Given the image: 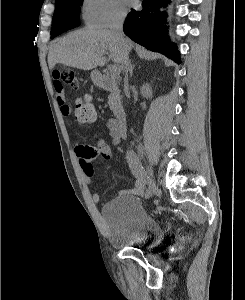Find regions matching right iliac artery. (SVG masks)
Masks as SVG:
<instances>
[{"label": "right iliac artery", "mask_w": 245, "mask_h": 300, "mask_svg": "<svg viewBox=\"0 0 245 300\" xmlns=\"http://www.w3.org/2000/svg\"><path fill=\"white\" fill-rule=\"evenodd\" d=\"M126 158L133 175L138 180H140L144 185L146 184L148 185L149 177L146 175L144 168L141 165L136 153L133 150H128L126 153ZM154 193H155L154 186H149L145 194L146 200L147 198L152 197Z\"/></svg>", "instance_id": "82829eb1"}]
</instances>
